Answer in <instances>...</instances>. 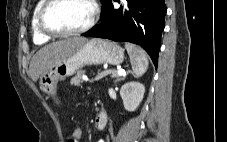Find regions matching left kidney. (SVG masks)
Segmentation results:
<instances>
[{"label": "left kidney", "instance_id": "left-kidney-1", "mask_svg": "<svg viewBox=\"0 0 227 142\" xmlns=\"http://www.w3.org/2000/svg\"><path fill=\"white\" fill-rule=\"evenodd\" d=\"M145 93V87L139 82H127L120 90V96L123 100L124 108L129 111H135L140 105Z\"/></svg>", "mask_w": 227, "mask_h": 142}]
</instances>
